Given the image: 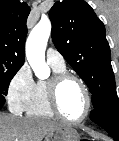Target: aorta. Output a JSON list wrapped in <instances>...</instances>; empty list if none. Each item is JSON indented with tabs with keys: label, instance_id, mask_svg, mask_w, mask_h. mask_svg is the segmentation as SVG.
<instances>
[{
	"label": "aorta",
	"instance_id": "aorta-1",
	"mask_svg": "<svg viewBox=\"0 0 119 141\" xmlns=\"http://www.w3.org/2000/svg\"><path fill=\"white\" fill-rule=\"evenodd\" d=\"M51 33V22L44 18L30 32L26 41V57L35 75L46 79L50 69L45 62V50Z\"/></svg>",
	"mask_w": 119,
	"mask_h": 141
}]
</instances>
